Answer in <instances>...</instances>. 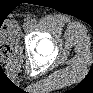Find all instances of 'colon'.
Returning a JSON list of instances; mask_svg holds the SVG:
<instances>
[{"instance_id": "colon-1", "label": "colon", "mask_w": 93, "mask_h": 93, "mask_svg": "<svg viewBox=\"0 0 93 93\" xmlns=\"http://www.w3.org/2000/svg\"><path fill=\"white\" fill-rule=\"evenodd\" d=\"M0 51L3 59H7L12 55V47L14 42V32L6 25H3L0 33Z\"/></svg>"}]
</instances>
